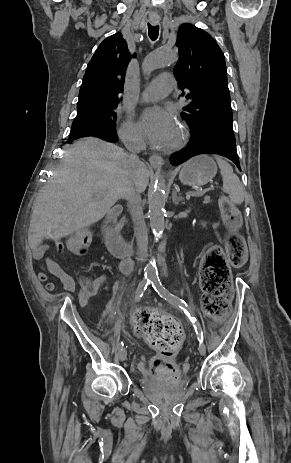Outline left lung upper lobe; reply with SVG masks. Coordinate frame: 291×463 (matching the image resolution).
<instances>
[{"instance_id": "obj_1", "label": "left lung upper lobe", "mask_w": 291, "mask_h": 463, "mask_svg": "<svg viewBox=\"0 0 291 463\" xmlns=\"http://www.w3.org/2000/svg\"><path fill=\"white\" fill-rule=\"evenodd\" d=\"M174 68L182 95L190 100L181 113L191 134H211L235 141L227 70L222 50L213 37L191 24L180 26Z\"/></svg>"}]
</instances>
